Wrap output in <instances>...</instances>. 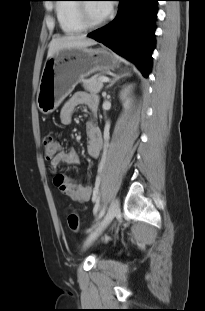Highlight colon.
I'll list each match as a JSON object with an SVG mask.
<instances>
[{
  "instance_id": "5ec220e1",
  "label": "colon",
  "mask_w": 205,
  "mask_h": 311,
  "mask_svg": "<svg viewBox=\"0 0 205 311\" xmlns=\"http://www.w3.org/2000/svg\"><path fill=\"white\" fill-rule=\"evenodd\" d=\"M44 144V157L47 161H51L61 149V141L52 136H45L43 139ZM68 228L77 233L80 229V219L76 212L70 211L67 214Z\"/></svg>"
}]
</instances>
